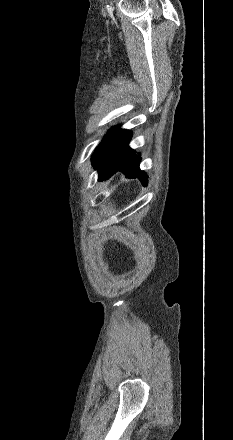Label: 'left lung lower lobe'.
Listing matches in <instances>:
<instances>
[{
  "label": "left lung lower lobe",
  "mask_w": 233,
  "mask_h": 440,
  "mask_svg": "<svg viewBox=\"0 0 233 440\" xmlns=\"http://www.w3.org/2000/svg\"><path fill=\"white\" fill-rule=\"evenodd\" d=\"M131 132L114 128L96 148L92 163L99 172V178L107 179L117 171H122L129 178H139L147 184L146 174L139 169L140 155L129 148Z\"/></svg>",
  "instance_id": "1"
}]
</instances>
